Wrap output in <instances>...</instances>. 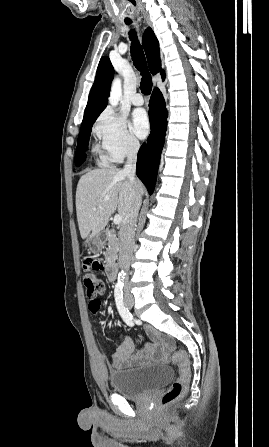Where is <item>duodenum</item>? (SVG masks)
Instances as JSON below:
<instances>
[{
	"label": "duodenum",
	"mask_w": 269,
	"mask_h": 447,
	"mask_svg": "<svg viewBox=\"0 0 269 447\" xmlns=\"http://www.w3.org/2000/svg\"><path fill=\"white\" fill-rule=\"evenodd\" d=\"M106 273H107V277L110 281H115L116 280V266L114 263L110 262L108 263L107 267H106Z\"/></svg>",
	"instance_id": "410a0bca"
}]
</instances>
